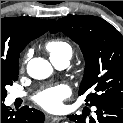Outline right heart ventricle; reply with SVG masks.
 Returning <instances> with one entry per match:
<instances>
[{
    "label": "right heart ventricle",
    "mask_w": 123,
    "mask_h": 123,
    "mask_svg": "<svg viewBox=\"0 0 123 123\" xmlns=\"http://www.w3.org/2000/svg\"><path fill=\"white\" fill-rule=\"evenodd\" d=\"M51 60H59L62 58H69L72 55V48L70 44L61 39H54L46 43L45 46Z\"/></svg>",
    "instance_id": "e07e8e85"
}]
</instances>
